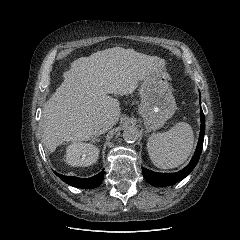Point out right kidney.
<instances>
[{"label":"right kidney","instance_id":"right-kidney-1","mask_svg":"<svg viewBox=\"0 0 240 240\" xmlns=\"http://www.w3.org/2000/svg\"><path fill=\"white\" fill-rule=\"evenodd\" d=\"M98 157L99 149L96 146L77 142L67 147L65 161L73 167H86L94 164Z\"/></svg>","mask_w":240,"mask_h":240}]
</instances>
